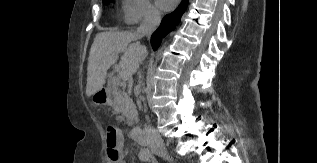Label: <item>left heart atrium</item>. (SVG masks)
I'll list each match as a JSON object with an SVG mask.
<instances>
[{"instance_id": "39dd6f15", "label": "left heart atrium", "mask_w": 317, "mask_h": 163, "mask_svg": "<svg viewBox=\"0 0 317 163\" xmlns=\"http://www.w3.org/2000/svg\"><path fill=\"white\" fill-rule=\"evenodd\" d=\"M177 2L178 0H157L159 7L163 10H171Z\"/></svg>"}]
</instances>
